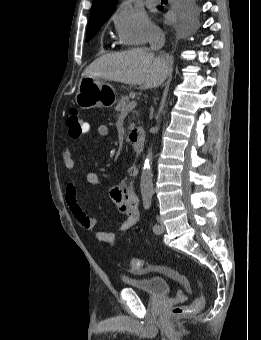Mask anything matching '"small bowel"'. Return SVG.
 <instances>
[{
    "label": "small bowel",
    "mask_w": 261,
    "mask_h": 340,
    "mask_svg": "<svg viewBox=\"0 0 261 340\" xmlns=\"http://www.w3.org/2000/svg\"><path fill=\"white\" fill-rule=\"evenodd\" d=\"M89 131V124L85 122V133ZM97 132L100 136H107L109 129L105 124H100L97 127ZM63 163L68 170H72L75 167L74 154L72 150L65 149L63 151ZM128 179L121 185L110 189L109 195L117 209L126 215V218L121 223L119 230L125 232L132 228L140 218L138 209V197L134 191L133 182L138 175V169L136 166H130L127 170ZM86 180L92 185H99L100 180L96 173L88 172ZM66 204L80 226L87 231H94L96 226V220L90 217L83 209L79 199L78 190L74 183L69 182L65 190ZM96 238L105 243H112L115 240V234L106 231H95ZM190 291V289H188Z\"/></svg>",
    "instance_id": "small-bowel-1"
}]
</instances>
